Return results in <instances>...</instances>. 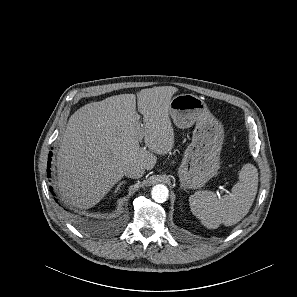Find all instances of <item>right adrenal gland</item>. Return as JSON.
Returning <instances> with one entry per match:
<instances>
[{
	"label": "right adrenal gland",
	"mask_w": 297,
	"mask_h": 297,
	"mask_svg": "<svg viewBox=\"0 0 297 297\" xmlns=\"http://www.w3.org/2000/svg\"><path fill=\"white\" fill-rule=\"evenodd\" d=\"M125 184V181H122L119 183V185L117 186L116 190H115V193L120 189V187Z\"/></svg>",
	"instance_id": "obj_1"
}]
</instances>
